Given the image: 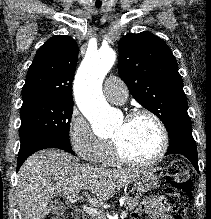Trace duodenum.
<instances>
[{
	"label": "duodenum",
	"instance_id": "1",
	"mask_svg": "<svg viewBox=\"0 0 211 219\" xmlns=\"http://www.w3.org/2000/svg\"><path fill=\"white\" fill-rule=\"evenodd\" d=\"M73 216L75 217V219H86L82 214L80 213H75L73 214Z\"/></svg>",
	"mask_w": 211,
	"mask_h": 219
}]
</instances>
